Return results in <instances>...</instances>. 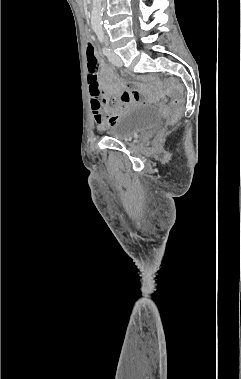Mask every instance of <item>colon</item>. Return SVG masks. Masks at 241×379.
Returning <instances> with one entry per match:
<instances>
[{"instance_id":"colon-1","label":"colon","mask_w":241,"mask_h":379,"mask_svg":"<svg viewBox=\"0 0 241 379\" xmlns=\"http://www.w3.org/2000/svg\"><path fill=\"white\" fill-rule=\"evenodd\" d=\"M86 58H87V68H88V88L96 89L97 84V75L99 70V61L96 56L95 48L91 43L87 44L86 47ZM158 110H164V112L168 115V122H175L182 113L183 110V100L175 99L170 108H168L167 103H158Z\"/></svg>"}]
</instances>
